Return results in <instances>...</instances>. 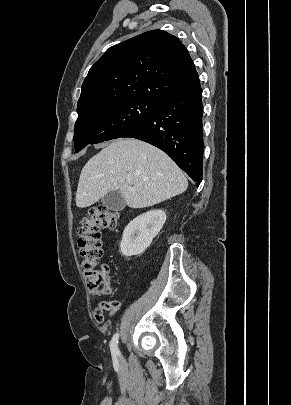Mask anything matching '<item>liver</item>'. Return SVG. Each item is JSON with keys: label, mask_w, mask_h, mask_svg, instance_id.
I'll list each match as a JSON object with an SVG mask.
<instances>
[{"label": "liver", "mask_w": 291, "mask_h": 405, "mask_svg": "<svg viewBox=\"0 0 291 405\" xmlns=\"http://www.w3.org/2000/svg\"><path fill=\"white\" fill-rule=\"evenodd\" d=\"M130 178V182H127ZM188 181L160 149L137 139H117L83 167L76 205L85 208L120 190L131 208H145L186 191Z\"/></svg>", "instance_id": "obj_1"}]
</instances>
